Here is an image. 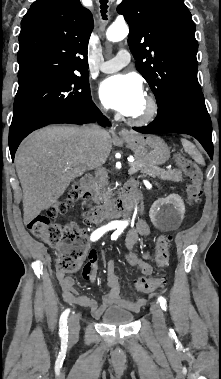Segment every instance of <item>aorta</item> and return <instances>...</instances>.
Instances as JSON below:
<instances>
[{"instance_id": "1", "label": "aorta", "mask_w": 221, "mask_h": 379, "mask_svg": "<svg viewBox=\"0 0 221 379\" xmlns=\"http://www.w3.org/2000/svg\"><path fill=\"white\" fill-rule=\"evenodd\" d=\"M129 33L128 26L125 23H113L106 32V37L109 41L117 42L123 40ZM123 224H127L124 221Z\"/></svg>"}]
</instances>
